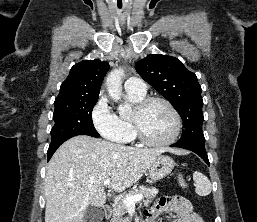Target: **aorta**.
<instances>
[{"label":"aorta","mask_w":257,"mask_h":222,"mask_svg":"<svg viewBox=\"0 0 257 222\" xmlns=\"http://www.w3.org/2000/svg\"><path fill=\"white\" fill-rule=\"evenodd\" d=\"M124 76V70L122 68L115 69L109 73L106 78V86L110 97L118 102L122 96V78ZM131 107L128 104L120 106L121 112L130 111Z\"/></svg>","instance_id":"1"}]
</instances>
